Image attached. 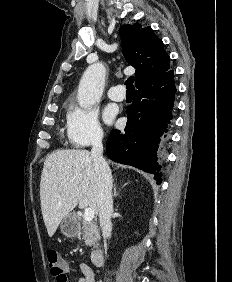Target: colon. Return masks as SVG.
<instances>
[{"instance_id":"5ec220e1","label":"colon","mask_w":232,"mask_h":282,"mask_svg":"<svg viewBox=\"0 0 232 282\" xmlns=\"http://www.w3.org/2000/svg\"><path fill=\"white\" fill-rule=\"evenodd\" d=\"M47 260L51 274L55 278L65 277L64 261L56 250L50 249L47 251Z\"/></svg>"}]
</instances>
